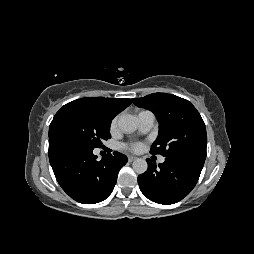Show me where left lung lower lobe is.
Returning <instances> with one entry per match:
<instances>
[{
	"label": "left lung lower lobe",
	"mask_w": 254,
	"mask_h": 254,
	"mask_svg": "<svg viewBox=\"0 0 254 254\" xmlns=\"http://www.w3.org/2000/svg\"><path fill=\"white\" fill-rule=\"evenodd\" d=\"M205 160L196 156L166 157L157 167L147 159L148 170L138 176L141 192L151 201L169 205L182 200L196 185Z\"/></svg>",
	"instance_id": "0a47b994"
}]
</instances>
